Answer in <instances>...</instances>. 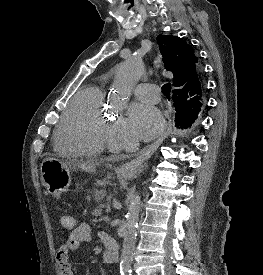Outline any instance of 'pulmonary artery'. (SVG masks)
<instances>
[{
	"instance_id": "obj_1",
	"label": "pulmonary artery",
	"mask_w": 263,
	"mask_h": 275,
	"mask_svg": "<svg viewBox=\"0 0 263 275\" xmlns=\"http://www.w3.org/2000/svg\"><path fill=\"white\" fill-rule=\"evenodd\" d=\"M133 94L138 99L148 103H157L159 101V90L155 84H138L133 88Z\"/></svg>"
}]
</instances>
